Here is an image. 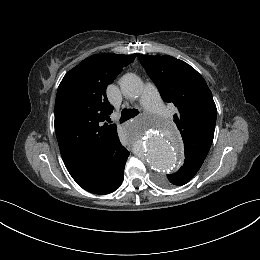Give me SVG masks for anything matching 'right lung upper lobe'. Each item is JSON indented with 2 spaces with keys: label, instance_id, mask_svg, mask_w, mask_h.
<instances>
[{
  "label": "right lung upper lobe",
  "instance_id": "1",
  "mask_svg": "<svg viewBox=\"0 0 260 260\" xmlns=\"http://www.w3.org/2000/svg\"><path fill=\"white\" fill-rule=\"evenodd\" d=\"M136 56L92 55L61 81L55 101V132L64 164L73 178L124 148L117 126L105 123L114 109L106 88Z\"/></svg>",
  "mask_w": 260,
  "mask_h": 260
}]
</instances>
